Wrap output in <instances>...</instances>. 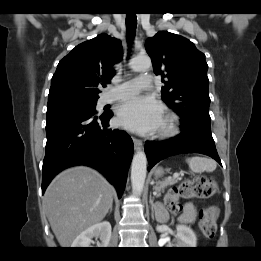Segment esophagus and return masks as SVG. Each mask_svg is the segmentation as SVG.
<instances>
[{"instance_id":"34e87169","label":"esophagus","mask_w":261,"mask_h":261,"mask_svg":"<svg viewBox=\"0 0 261 261\" xmlns=\"http://www.w3.org/2000/svg\"><path fill=\"white\" fill-rule=\"evenodd\" d=\"M133 144H134L135 149H140L143 145L142 141L137 138H133Z\"/></svg>"}]
</instances>
